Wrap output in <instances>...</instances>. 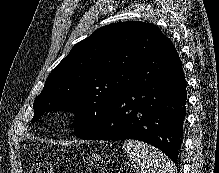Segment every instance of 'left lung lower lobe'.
I'll list each match as a JSON object with an SVG mask.
<instances>
[{"label": "left lung lower lobe", "mask_w": 219, "mask_h": 173, "mask_svg": "<svg viewBox=\"0 0 219 173\" xmlns=\"http://www.w3.org/2000/svg\"><path fill=\"white\" fill-rule=\"evenodd\" d=\"M186 81L167 38L135 72V84L85 140L137 139L163 151L175 164L183 138Z\"/></svg>", "instance_id": "1"}]
</instances>
